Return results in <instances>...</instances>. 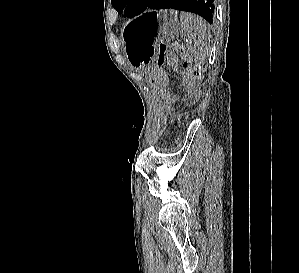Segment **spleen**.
I'll return each instance as SVG.
<instances>
[{
  "label": "spleen",
  "instance_id": "3e777b00",
  "mask_svg": "<svg viewBox=\"0 0 299 273\" xmlns=\"http://www.w3.org/2000/svg\"><path fill=\"white\" fill-rule=\"evenodd\" d=\"M180 20L191 56L199 61H205L210 53V25L202 17L191 13H182Z\"/></svg>",
  "mask_w": 299,
  "mask_h": 273
}]
</instances>
